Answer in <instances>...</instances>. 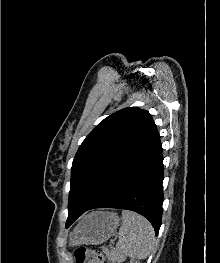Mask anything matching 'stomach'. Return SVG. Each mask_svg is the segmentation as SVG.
Instances as JSON below:
<instances>
[{
    "mask_svg": "<svg viewBox=\"0 0 220 263\" xmlns=\"http://www.w3.org/2000/svg\"><path fill=\"white\" fill-rule=\"evenodd\" d=\"M119 223L116 213L93 211L84 216L70 233V243L75 246L102 244L117 229Z\"/></svg>",
    "mask_w": 220,
    "mask_h": 263,
    "instance_id": "obj_1",
    "label": "stomach"
}]
</instances>
